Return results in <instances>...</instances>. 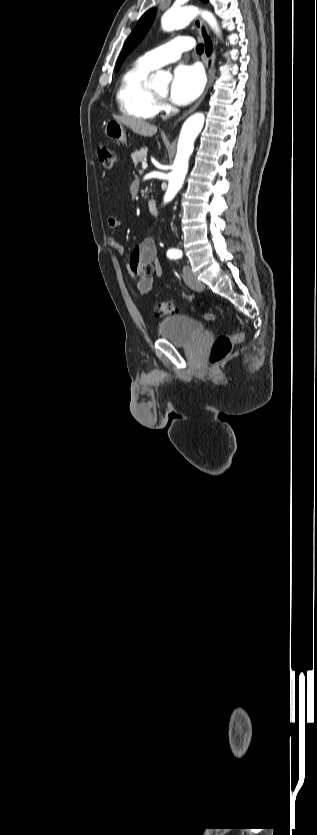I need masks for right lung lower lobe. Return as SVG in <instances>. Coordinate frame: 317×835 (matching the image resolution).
Here are the masks:
<instances>
[{
  "mask_svg": "<svg viewBox=\"0 0 317 835\" xmlns=\"http://www.w3.org/2000/svg\"><path fill=\"white\" fill-rule=\"evenodd\" d=\"M203 35H204V38H205L206 53H207L208 55H210V54H211V52H212V43H211V40L209 39V37L206 35V33H205V32H203Z\"/></svg>",
  "mask_w": 317,
  "mask_h": 835,
  "instance_id": "1",
  "label": "right lung lower lobe"
}]
</instances>
